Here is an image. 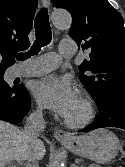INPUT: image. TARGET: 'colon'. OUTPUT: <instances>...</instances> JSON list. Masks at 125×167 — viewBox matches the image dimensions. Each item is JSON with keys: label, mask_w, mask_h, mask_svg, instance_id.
<instances>
[{"label": "colon", "mask_w": 125, "mask_h": 167, "mask_svg": "<svg viewBox=\"0 0 125 167\" xmlns=\"http://www.w3.org/2000/svg\"><path fill=\"white\" fill-rule=\"evenodd\" d=\"M121 161L120 167H125V142L121 146Z\"/></svg>", "instance_id": "5ec220e1"}]
</instances>
